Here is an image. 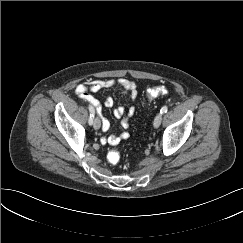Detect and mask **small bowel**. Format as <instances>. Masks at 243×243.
Returning a JSON list of instances; mask_svg holds the SVG:
<instances>
[{
  "instance_id": "small-bowel-1",
  "label": "small bowel",
  "mask_w": 243,
  "mask_h": 243,
  "mask_svg": "<svg viewBox=\"0 0 243 243\" xmlns=\"http://www.w3.org/2000/svg\"><path fill=\"white\" fill-rule=\"evenodd\" d=\"M120 88L124 93H129L132 100L137 97V89L134 82L126 79H109V80H91L84 83H80L75 88L77 96L87 102L90 106L94 107L98 113H101L102 107L111 108L114 105L112 97L108 96L102 103L99 99L92 95V93L99 92L103 89ZM135 108L132 106L127 111L125 107L119 106L113 110V115L116 118H122V126L127 129L129 127V119L134 114ZM103 131H107L110 128V122L108 119L102 117ZM129 137L128 132L124 131L119 135H110L108 137H102L101 142L103 144L117 145L121 140Z\"/></svg>"
}]
</instances>
